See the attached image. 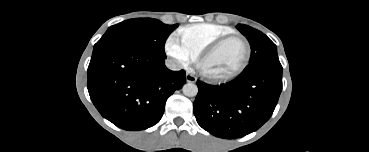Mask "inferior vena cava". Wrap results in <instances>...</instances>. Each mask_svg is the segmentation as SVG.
I'll use <instances>...</instances> for the list:
<instances>
[{"label":"inferior vena cava","instance_id":"inferior-vena-cava-1","mask_svg":"<svg viewBox=\"0 0 369 152\" xmlns=\"http://www.w3.org/2000/svg\"><path fill=\"white\" fill-rule=\"evenodd\" d=\"M166 66L172 71H179L182 69V64L171 58L166 60Z\"/></svg>","mask_w":369,"mask_h":152}]
</instances>
